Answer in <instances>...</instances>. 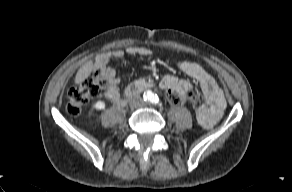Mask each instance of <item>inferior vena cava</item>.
Here are the masks:
<instances>
[{
	"mask_svg": "<svg viewBox=\"0 0 292 192\" xmlns=\"http://www.w3.org/2000/svg\"><path fill=\"white\" fill-rule=\"evenodd\" d=\"M129 104L133 108H140V107L144 106V101L141 97L136 96V97H133L132 99H130Z\"/></svg>",
	"mask_w": 292,
	"mask_h": 192,
	"instance_id": "1",
	"label": "inferior vena cava"
}]
</instances>
